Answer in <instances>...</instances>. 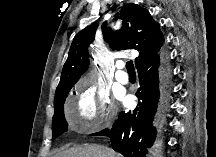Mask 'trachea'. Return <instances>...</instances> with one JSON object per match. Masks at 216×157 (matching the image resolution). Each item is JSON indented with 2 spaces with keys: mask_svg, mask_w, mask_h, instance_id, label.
Instances as JSON below:
<instances>
[{
  "mask_svg": "<svg viewBox=\"0 0 216 157\" xmlns=\"http://www.w3.org/2000/svg\"><path fill=\"white\" fill-rule=\"evenodd\" d=\"M126 68L129 74H135V68L132 60L126 63Z\"/></svg>",
  "mask_w": 216,
  "mask_h": 157,
  "instance_id": "obj_1",
  "label": "trachea"
}]
</instances>
